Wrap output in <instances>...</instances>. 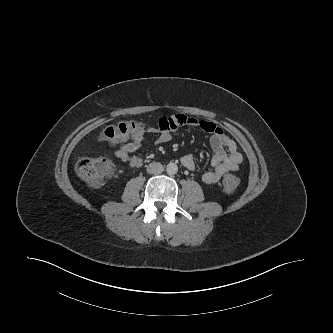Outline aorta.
<instances>
[{
	"instance_id": "obj_1",
	"label": "aorta",
	"mask_w": 333,
	"mask_h": 333,
	"mask_svg": "<svg viewBox=\"0 0 333 333\" xmlns=\"http://www.w3.org/2000/svg\"><path fill=\"white\" fill-rule=\"evenodd\" d=\"M166 171L169 175H174L178 172V166L175 163L170 162L166 167Z\"/></svg>"
}]
</instances>
